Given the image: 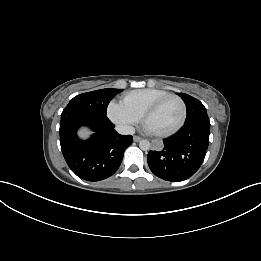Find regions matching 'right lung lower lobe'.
Masks as SVG:
<instances>
[{
  "label": "right lung lower lobe",
  "instance_id": "right-lung-lower-lobe-1",
  "mask_svg": "<svg viewBox=\"0 0 261 261\" xmlns=\"http://www.w3.org/2000/svg\"><path fill=\"white\" fill-rule=\"evenodd\" d=\"M87 126L94 131L86 141L77 130ZM106 115L81 110H63L60 122V144L70 169L87 181H100L119 168L125 149L133 142L131 135H120Z\"/></svg>",
  "mask_w": 261,
  "mask_h": 261
}]
</instances>
